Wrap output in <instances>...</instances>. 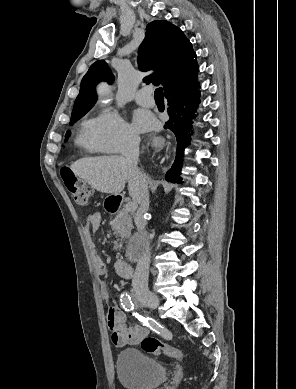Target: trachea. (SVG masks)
Masks as SVG:
<instances>
[{"mask_svg": "<svg viewBox=\"0 0 296 389\" xmlns=\"http://www.w3.org/2000/svg\"><path fill=\"white\" fill-rule=\"evenodd\" d=\"M155 99L156 100H164V94H163V89L162 87H159L155 90Z\"/></svg>", "mask_w": 296, "mask_h": 389, "instance_id": "trachea-1", "label": "trachea"}]
</instances>
